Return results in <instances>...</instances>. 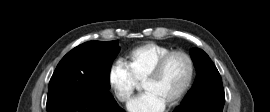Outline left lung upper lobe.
<instances>
[{
	"label": "left lung upper lobe",
	"mask_w": 270,
	"mask_h": 112,
	"mask_svg": "<svg viewBox=\"0 0 270 112\" xmlns=\"http://www.w3.org/2000/svg\"><path fill=\"white\" fill-rule=\"evenodd\" d=\"M190 55L196 67V80L181 104L197 102L206 95L224 93L220 74L209 56L201 49L192 48Z\"/></svg>",
	"instance_id": "5c2ea615"
}]
</instances>
